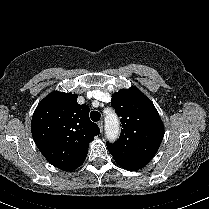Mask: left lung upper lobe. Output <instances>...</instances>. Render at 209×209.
<instances>
[{"label":"left lung upper lobe","instance_id":"5c2ea615","mask_svg":"<svg viewBox=\"0 0 209 209\" xmlns=\"http://www.w3.org/2000/svg\"><path fill=\"white\" fill-rule=\"evenodd\" d=\"M112 107L121 117L120 139L107 148L118 163L145 166L156 154L164 136L162 120L152 102L136 87L112 95Z\"/></svg>","mask_w":209,"mask_h":209}]
</instances>
